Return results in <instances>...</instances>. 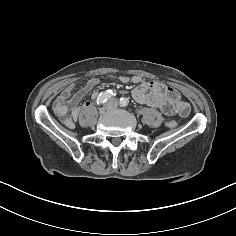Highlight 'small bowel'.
Returning <instances> with one entry per match:
<instances>
[{
    "instance_id": "small-bowel-1",
    "label": "small bowel",
    "mask_w": 236,
    "mask_h": 236,
    "mask_svg": "<svg viewBox=\"0 0 236 236\" xmlns=\"http://www.w3.org/2000/svg\"><path fill=\"white\" fill-rule=\"evenodd\" d=\"M122 83H132L136 87L132 90L133 99L139 103L156 108L168 116L179 115L186 117L190 113L189 104L181 99L179 92L173 87L157 81H146L141 76H121ZM98 79H90L85 86L74 92V84H68L56 97L53 109L60 122L68 128H73L83 107L80 101L87 93L97 86ZM97 97L92 94V99Z\"/></svg>"
}]
</instances>
